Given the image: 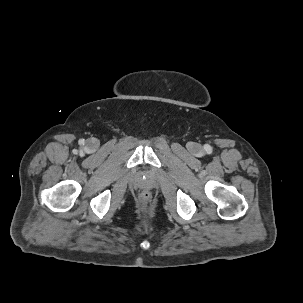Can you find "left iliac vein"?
<instances>
[{
	"mask_svg": "<svg viewBox=\"0 0 303 303\" xmlns=\"http://www.w3.org/2000/svg\"><path fill=\"white\" fill-rule=\"evenodd\" d=\"M191 150L194 154H198L202 151V148L200 145L198 144H194L192 147H191Z\"/></svg>",
	"mask_w": 303,
	"mask_h": 303,
	"instance_id": "obj_1",
	"label": "left iliac vein"
}]
</instances>
